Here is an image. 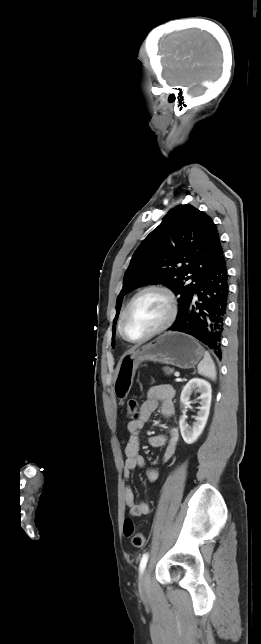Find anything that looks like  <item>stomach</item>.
<instances>
[{
	"label": "stomach",
	"instance_id": "stomach-1",
	"mask_svg": "<svg viewBox=\"0 0 261 644\" xmlns=\"http://www.w3.org/2000/svg\"><path fill=\"white\" fill-rule=\"evenodd\" d=\"M204 356V349L191 336L167 332L153 341L127 352L121 358L114 379L113 391L119 400L129 395L138 366L144 361L191 369Z\"/></svg>",
	"mask_w": 261,
	"mask_h": 644
}]
</instances>
